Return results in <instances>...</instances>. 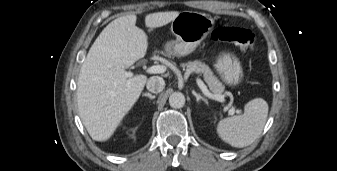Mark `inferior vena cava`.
Masks as SVG:
<instances>
[{
  "label": "inferior vena cava",
  "instance_id": "inferior-vena-cava-1",
  "mask_svg": "<svg viewBox=\"0 0 337 171\" xmlns=\"http://www.w3.org/2000/svg\"><path fill=\"white\" fill-rule=\"evenodd\" d=\"M146 87L152 93H159L165 88V81L161 77L153 76L148 79Z\"/></svg>",
  "mask_w": 337,
  "mask_h": 171
}]
</instances>
